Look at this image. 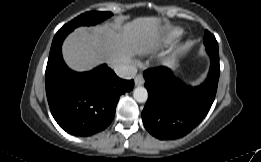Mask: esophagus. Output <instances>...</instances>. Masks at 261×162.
<instances>
[{"label": "esophagus", "instance_id": "esophagus-1", "mask_svg": "<svg viewBox=\"0 0 261 162\" xmlns=\"http://www.w3.org/2000/svg\"><path fill=\"white\" fill-rule=\"evenodd\" d=\"M134 82H135V85H136V86H141V85H143L144 82H145V79H144L143 74H142V73L137 74V75L135 76V78H134Z\"/></svg>", "mask_w": 261, "mask_h": 162}]
</instances>
